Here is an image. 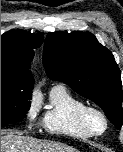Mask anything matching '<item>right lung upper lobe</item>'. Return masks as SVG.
Instances as JSON below:
<instances>
[{
    "label": "right lung upper lobe",
    "mask_w": 123,
    "mask_h": 152,
    "mask_svg": "<svg viewBox=\"0 0 123 152\" xmlns=\"http://www.w3.org/2000/svg\"><path fill=\"white\" fill-rule=\"evenodd\" d=\"M43 34L11 30L1 36V75L15 78L22 84L33 86L29 71L33 49L41 46Z\"/></svg>",
    "instance_id": "cb5924a9"
}]
</instances>
